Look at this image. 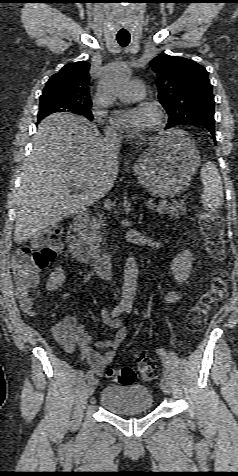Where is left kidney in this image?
Returning a JSON list of instances; mask_svg holds the SVG:
<instances>
[{"instance_id": "1", "label": "left kidney", "mask_w": 238, "mask_h": 476, "mask_svg": "<svg viewBox=\"0 0 238 476\" xmlns=\"http://www.w3.org/2000/svg\"><path fill=\"white\" fill-rule=\"evenodd\" d=\"M192 253L189 250H185L171 263V271L175 280L179 283H184L190 275L192 268Z\"/></svg>"}]
</instances>
